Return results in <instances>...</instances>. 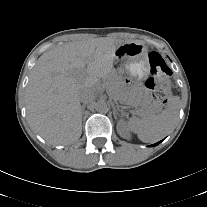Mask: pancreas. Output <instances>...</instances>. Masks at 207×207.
Wrapping results in <instances>:
<instances>
[{"mask_svg": "<svg viewBox=\"0 0 207 207\" xmlns=\"http://www.w3.org/2000/svg\"><path fill=\"white\" fill-rule=\"evenodd\" d=\"M106 86H107L108 92H110L115 98L119 99V95H120L119 84L115 81H108L106 82ZM131 107H136L135 112L141 116L149 115L155 109V106L152 105L149 101L142 102V103H139L138 105L131 106Z\"/></svg>", "mask_w": 207, "mask_h": 207, "instance_id": "obj_1", "label": "pancreas"}]
</instances>
